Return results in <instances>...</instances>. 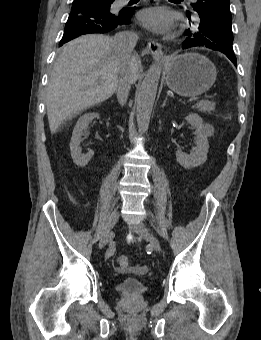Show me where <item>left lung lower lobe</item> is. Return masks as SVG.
Returning <instances> with one entry per match:
<instances>
[{"instance_id":"1","label":"left lung lower lobe","mask_w":261,"mask_h":340,"mask_svg":"<svg viewBox=\"0 0 261 340\" xmlns=\"http://www.w3.org/2000/svg\"><path fill=\"white\" fill-rule=\"evenodd\" d=\"M215 11H221V13L227 14L228 16H231L229 6L222 5L219 3H212V2H205L203 4V7L201 11L199 12V16L201 19L205 21H209V18H213V12ZM196 45V41L193 38H187L183 44L182 48H190ZM221 53H224L235 65H237L236 57L233 51L231 50H222Z\"/></svg>"}]
</instances>
